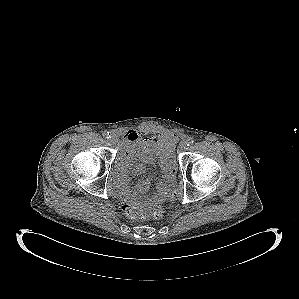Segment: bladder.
Instances as JSON below:
<instances>
[{
    "instance_id": "bladder-1",
    "label": "bladder",
    "mask_w": 299,
    "mask_h": 299,
    "mask_svg": "<svg viewBox=\"0 0 299 299\" xmlns=\"http://www.w3.org/2000/svg\"><path fill=\"white\" fill-rule=\"evenodd\" d=\"M154 148L158 154H169L170 156L173 157V142L171 144L163 145V146H161V143H159L155 145ZM117 168H118V162L117 160H115L114 172H117Z\"/></svg>"
}]
</instances>
